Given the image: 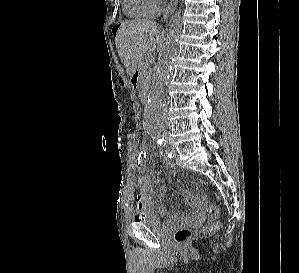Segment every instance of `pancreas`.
<instances>
[{"instance_id":"cf45deb5","label":"pancreas","mask_w":299,"mask_h":273,"mask_svg":"<svg viewBox=\"0 0 299 273\" xmlns=\"http://www.w3.org/2000/svg\"><path fill=\"white\" fill-rule=\"evenodd\" d=\"M139 72H140V79H141V89L145 90L150 82L151 78V68L150 65L142 61L139 64Z\"/></svg>"}]
</instances>
